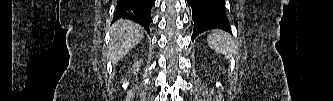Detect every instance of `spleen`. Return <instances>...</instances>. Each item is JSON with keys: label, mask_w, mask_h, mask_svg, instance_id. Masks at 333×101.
<instances>
[{"label": "spleen", "mask_w": 333, "mask_h": 101, "mask_svg": "<svg viewBox=\"0 0 333 101\" xmlns=\"http://www.w3.org/2000/svg\"><path fill=\"white\" fill-rule=\"evenodd\" d=\"M210 48L227 57L233 58L237 53V46L231 35L224 31H213L207 38Z\"/></svg>", "instance_id": "3e777b00"}]
</instances>
